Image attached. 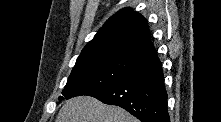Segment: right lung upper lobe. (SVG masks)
Instances as JSON below:
<instances>
[{
  "label": "right lung upper lobe",
  "instance_id": "1",
  "mask_svg": "<svg viewBox=\"0 0 221 122\" xmlns=\"http://www.w3.org/2000/svg\"><path fill=\"white\" fill-rule=\"evenodd\" d=\"M154 50L145 18L131 8L113 15L82 50L76 65L102 57L139 60Z\"/></svg>",
  "mask_w": 221,
  "mask_h": 122
}]
</instances>
